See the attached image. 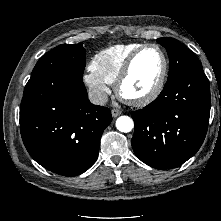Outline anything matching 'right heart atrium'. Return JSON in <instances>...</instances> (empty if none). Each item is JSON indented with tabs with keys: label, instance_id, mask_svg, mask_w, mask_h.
I'll return each mask as SVG.
<instances>
[{
	"label": "right heart atrium",
	"instance_id": "obj_1",
	"mask_svg": "<svg viewBox=\"0 0 221 221\" xmlns=\"http://www.w3.org/2000/svg\"><path fill=\"white\" fill-rule=\"evenodd\" d=\"M83 81L96 102L103 103L107 99L110 93L108 84L94 75L90 70L84 75Z\"/></svg>",
	"mask_w": 221,
	"mask_h": 221
}]
</instances>
